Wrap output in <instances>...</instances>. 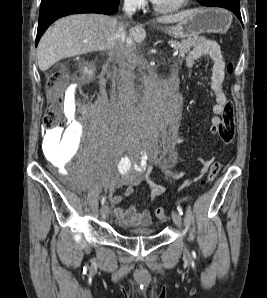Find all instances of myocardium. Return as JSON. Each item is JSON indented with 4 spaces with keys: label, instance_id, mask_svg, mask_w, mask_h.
Wrapping results in <instances>:
<instances>
[{
    "label": "myocardium",
    "instance_id": "1",
    "mask_svg": "<svg viewBox=\"0 0 267 298\" xmlns=\"http://www.w3.org/2000/svg\"><path fill=\"white\" fill-rule=\"evenodd\" d=\"M190 2V0H181V2L173 8H161L155 2H153L154 10L160 14H176L181 12Z\"/></svg>",
    "mask_w": 267,
    "mask_h": 298
}]
</instances>
